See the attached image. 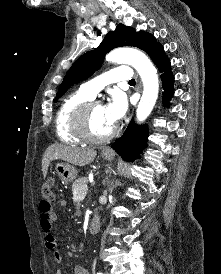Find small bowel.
<instances>
[{
	"mask_svg": "<svg viewBox=\"0 0 221 274\" xmlns=\"http://www.w3.org/2000/svg\"><path fill=\"white\" fill-rule=\"evenodd\" d=\"M65 201H60V206H65ZM39 212H40V227L44 235L45 247L50 250L53 254V257L56 263L61 262V254L57 246L56 238L53 234V225L56 220V214L53 212L51 204L42 200L39 204ZM55 274H62L60 268L56 269ZM73 274H88L87 270L77 265L73 269Z\"/></svg>",
	"mask_w": 221,
	"mask_h": 274,
	"instance_id": "small-bowel-1",
	"label": "small bowel"
}]
</instances>
